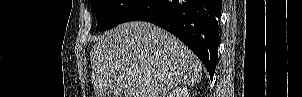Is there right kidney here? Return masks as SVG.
Returning a JSON list of instances; mask_svg holds the SVG:
<instances>
[{
	"label": "right kidney",
	"mask_w": 302,
	"mask_h": 97,
	"mask_svg": "<svg viewBox=\"0 0 302 97\" xmlns=\"http://www.w3.org/2000/svg\"><path fill=\"white\" fill-rule=\"evenodd\" d=\"M168 97H189V92L185 87H177L169 93Z\"/></svg>",
	"instance_id": "ca27d5eb"
}]
</instances>
